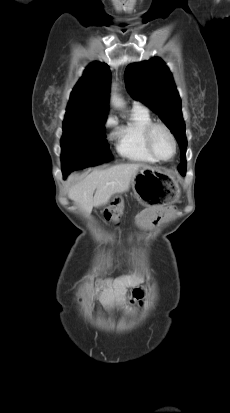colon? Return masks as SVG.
<instances>
[{"instance_id": "colon-1", "label": "colon", "mask_w": 230, "mask_h": 413, "mask_svg": "<svg viewBox=\"0 0 230 413\" xmlns=\"http://www.w3.org/2000/svg\"><path fill=\"white\" fill-rule=\"evenodd\" d=\"M110 203L112 205L103 210V215L108 221L118 222L121 217L122 206L125 203L123 194L121 192H116L114 198L110 200Z\"/></svg>"}]
</instances>
